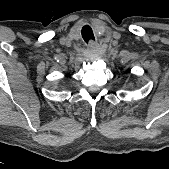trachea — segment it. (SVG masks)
<instances>
[{"instance_id": "obj_1", "label": "trachea", "mask_w": 169, "mask_h": 169, "mask_svg": "<svg viewBox=\"0 0 169 169\" xmlns=\"http://www.w3.org/2000/svg\"><path fill=\"white\" fill-rule=\"evenodd\" d=\"M81 33H82V38H83V40H84L87 44H88L90 41L95 40L93 31H92V28H91L89 25L83 26V28H82V30H81Z\"/></svg>"}]
</instances>
